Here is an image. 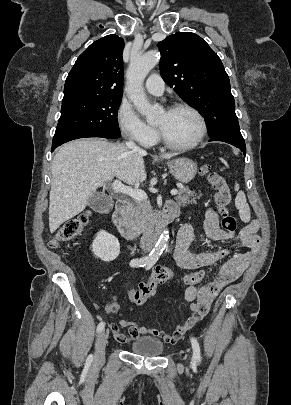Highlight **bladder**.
<instances>
[{
	"label": "bladder",
	"mask_w": 291,
	"mask_h": 405,
	"mask_svg": "<svg viewBox=\"0 0 291 405\" xmlns=\"http://www.w3.org/2000/svg\"><path fill=\"white\" fill-rule=\"evenodd\" d=\"M131 352L145 357H156L163 353V343L154 337L143 336L130 346Z\"/></svg>",
	"instance_id": "31cf9c89"
}]
</instances>
